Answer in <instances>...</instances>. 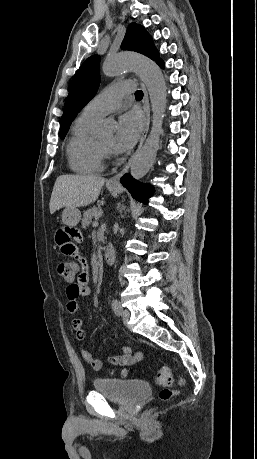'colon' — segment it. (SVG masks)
<instances>
[{
    "label": "colon",
    "instance_id": "5ec220e1",
    "mask_svg": "<svg viewBox=\"0 0 257 459\" xmlns=\"http://www.w3.org/2000/svg\"><path fill=\"white\" fill-rule=\"evenodd\" d=\"M80 267L81 264H68L66 260H63L57 263L56 273L65 281L73 282L78 275ZM155 382L159 387H161L159 397L162 401H168L177 394V390L170 388L172 383V369L170 366L164 365L158 370ZM184 384V380L180 379L179 386L182 387Z\"/></svg>",
    "mask_w": 257,
    "mask_h": 459
}]
</instances>
